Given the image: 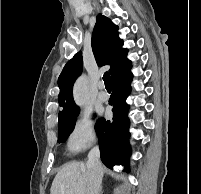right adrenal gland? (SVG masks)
Instances as JSON below:
<instances>
[{
  "instance_id": "2a0ac1e0",
  "label": "right adrenal gland",
  "mask_w": 201,
  "mask_h": 194,
  "mask_svg": "<svg viewBox=\"0 0 201 194\" xmlns=\"http://www.w3.org/2000/svg\"><path fill=\"white\" fill-rule=\"evenodd\" d=\"M101 192H102V189H100V193L99 194H101Z\"/></svg>"
}]
</instances>
